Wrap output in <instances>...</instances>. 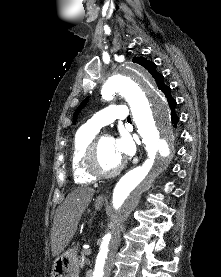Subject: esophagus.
I'll use <instances>...</instances> for the list:
<instances>
[{
  "label": "esophagus",
  "instance_id": "esophagus-1",
  "mask_svg": "<svg viewBox=\"0 0 221 277\" xmlns=\"http://www.w3.org/2000/svg\"><path fill=\"white\" fill-rule=\"evenodd\" d=\"M98 199L104 200V199H106V196L104 194H101V195H99Z\"/></svg>",
  "mask_w": 221,
  "mask_h": 277
}]
</instances>
